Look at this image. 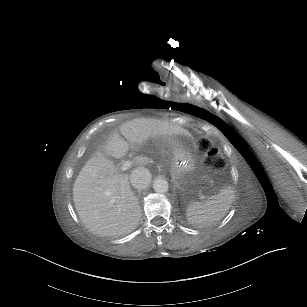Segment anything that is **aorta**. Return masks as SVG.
<instances>
[{
	"label": "aorta",
	"mask_w": 307,
	"mask_h": 307,
	"mask_svg": "<svg viewBox=\"0 0 307 307\" xmlns=\"http://www.w3.org/2000/svg\"><path fill=\"white\" fill-rule=\"evenodd\" d=\"M153 189L156 193H165L169 189L168 181L165 179L157 178L153 182Z\"/></svg>",
	"instance_id": "obj_1"
}]
</instances>
